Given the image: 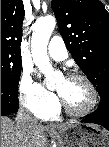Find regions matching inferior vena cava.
I'll return each mask as SVG.
<instances>
[{
  "instance_id": "obj_1",
  "label": "inferior vena cava",
  "mask_w": 109,
  "mask_h": 147,
  "mask_svg": "<svg viewBox=\"0 0 109 147\" xmlns=\"http://www.w3.org/2000/svg\"><path fill=\"white\" fill-rule=\"evenodd\" d=\"M16 126L26 137H29L31 131L37 126V120L28 110L20 108L16 116Z\"/></svg>"
}]
</instances>
